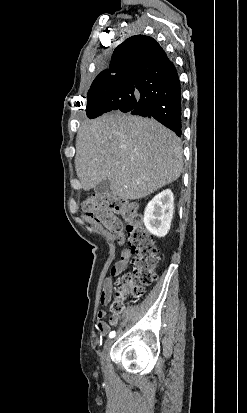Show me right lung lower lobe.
<instances>
[{
    "label": "right lung lower lobe",
    "mask_w": 247,
    "mask_h": 413,
    "mask_svg": "<svg viewBox=\"0 0 247 413\" xmlns=\"http://www.w3.org/2000/svg\"><path fill=\"white\" fill-rule=\"evenodd\" d=\"M130 92L124 96H111L93 111L91 119L103 113L119 110L134 115L153 117L177 136H181V88L174 64L170 61L156 72H136L126 77Z\"/></svg>",
    "instance_id": "1"
}]
</instances>
